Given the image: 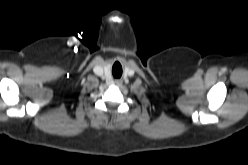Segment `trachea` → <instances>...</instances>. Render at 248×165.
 I'll use <instances>...</instances> for the list:
<instances>
[{
    "label": "trachea",
    "mask_w": 248,
    "mask_h": 165,
    "mask_svg": "<svg viewBox=\"0 0 248 165\" xmlns=\"http://www.w3.org/2000/svg\"><path fill=\"white\" fill-rule=\"evenodd\" d=\"M112 74L115 78H120L121 75H122V67L116 63L114 66H113V69H112Z\"/></svg>",
    "instance_id": "trachea-1"
}]
</instances>
